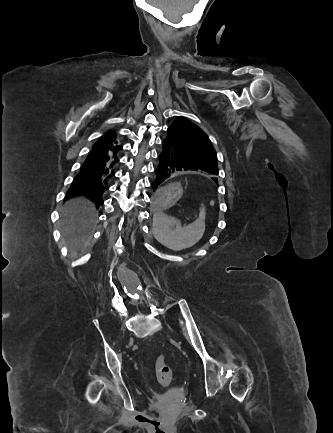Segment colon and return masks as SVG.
Segmentation results:
<instances>
[{"mask_svg": "<svg viewBox=\"0 0 333 433\" xmlns=\"http://www.w3.org/2000/svg\"><path fill=\"white\" fill-rule=\"evenodd\" d=\"M155 372L158 382L163 387H167L171 383L172 371L168 364V358L165 354L158 356L155 363Z\"/></svg>", "mask_w": 333, "mask_h": 433, "instance_id": "colon-1", "label": "colon"}]
</instances>
